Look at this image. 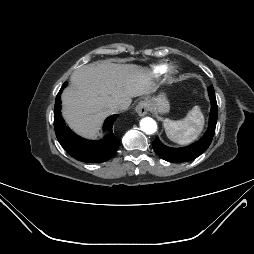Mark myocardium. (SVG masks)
Wrapping results in <instances>:
<instances>
[{
	"instance_id": "myocardium-1",
	"label": "myocardium",
	"mask_w": 254,
	"mask_h": 254,
	"mask_svg": "<svg viewBox=\"0 0 254 254\" xmlns=\"http://www.w3.org/2000/svg\"><path fill=\"white\" fill-rule=\"evenodd\" d=\"M169 72H170L171 74H174V73L176 72V68H175L174 66H171V67L169 68Z\"/></svg>"
}]
</instances>
